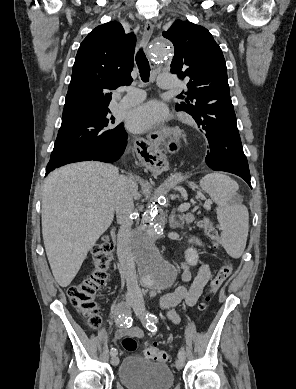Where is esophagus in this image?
Here are the masks:
<instances>
[{
    "instance_id": "1",
    "label": "esophagus",
    "mask_w": 296,
    "mask_h": 389,
    "mask_svg": "<svg viewBox=\"0 0 296 389\" xmlns=\"http://www.w3.org/2000/svg\"><path fill=\"white\" fill-rule=\"evenodd\" d=\"M153 33V24L146 21L141 39V45L147 46L150 37ZM171 127H175L176 123L171 122ZM172 135V130L169 126H158L155 129V136L158 139H169ZM133 144L137 149L139 159L143 169H168L166 156L162 149L156 146L148 135H136L133 139Z\"/></svg>"
}]
</instances>
